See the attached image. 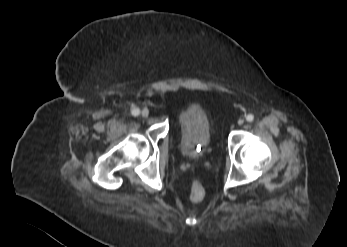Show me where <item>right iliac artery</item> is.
I'll return each mask as SVG.
<instances>
[{
	"instance_id": "obj_1",
	"label": "right iliac artery",
	"mask_w": 347,
	"mask_h": 247,
	"mask_svg": "<svg viewBox=\"0 0 347 247\" xmlns=\"http://www.w3.org/2000/svg\"><path fill=\"white\" fill-rule=\"evenodd\" d=\"M139 113H140L139 108H136V107H132V108H131V114H132L133 116H138Z\"/></svg>"
}]
</instances>
